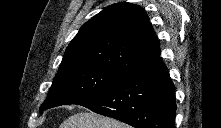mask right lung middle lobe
<instances>
[{"mask_svg": "<svg viewBox=\"0 0 221 128\" xmlns=\"http://www.w3.org/2000/svg\"><path fill=\"white\" fill-rule=\"evenodd\" d=\"M124 74L98 67H80L58 71L48 96L40 107L44 110L91 98L116 83Z\"/></svg>", "mask_w": 221, "mask_h": 128, "instance_id": "dd1d6c3e", "label": "right lung middle lobe"}]
</instances>
